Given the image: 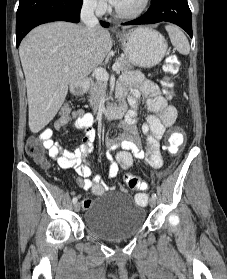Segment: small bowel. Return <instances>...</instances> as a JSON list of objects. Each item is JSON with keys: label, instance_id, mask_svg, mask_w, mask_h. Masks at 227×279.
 Here are the masks:
<instances>
[{"label": "small bowel", "instance_id": "1", "mask_svg": "<svg viewBox=\"0 0 227 279\" xmlns=\"http://www.w3.org/2000/svg\"><path fill=\"white\" fill-rule=\"evenodd\" d=\"M128 93L131 110L121 123L119 134L108 139L106 157L110 163V177H115L119 170L130 168L134 158L143 159L154 168L162 166L160 140L165 131L174 125L177 119L176 108L168 104L160 88L152 81L143 79L140 74L127 73L121 77L117 86V94L120 99H124ZM140 96L144 97L147 109L150 111L141 125V133L146 144L145 152L140 149L141 136L137 127V99ZM72 119L76 128L84 130V137L81 144L73 150H62L59 144L52 139V135L54 131H61ZM93 124L94 118L90 113L81 109L75 110L68 116L56 117L53 120V127L45 128L39 139L43 141V146L48 150L49 156L55 159L61 168L76 171L77 183L80 188L92 189L95 194L100 195L105 192L106 185L99 176L91 178L93 163L90 156L96 139ZM92 203V199H83L82 206L88 209Z\"/></svg>", "mask_w": 227, "mask_h": 279}]
</instances>
